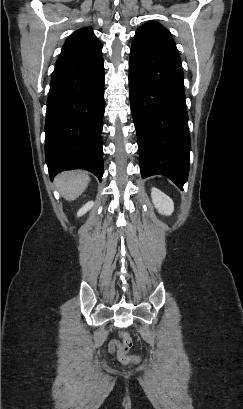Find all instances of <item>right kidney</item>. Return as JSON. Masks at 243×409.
Masks as SVG:
<instances>
[{
  "label": "right kidney",
  "instance_id": "ca27d5eb",
  "mask_svg": "<svg viewBox=\"0 0 243 409\" xmlns=\"http://www.w3.org/2000/svg\"><path fill=\"white\" fill-rule=\"evenodd\" d=\"M93 204L94 203L92 201L86 203L82 208L79 209V211L77 212V216L80 217L84 215L88 210L92 208Z\"/></svg>",
  "mask_w": 243,
  "mask_h": 409
}]
</instances>
